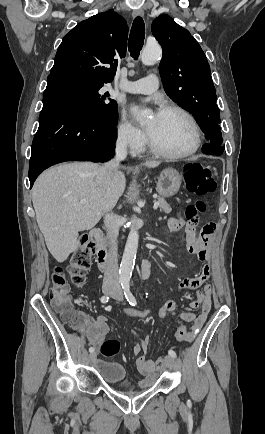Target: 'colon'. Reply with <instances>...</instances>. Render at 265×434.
<instances>
[{"mask_svg": "<svg viewBox=\"0 0 265 434\" xmlns=\"http://www.w3.org/2000/svg\"><path fill=\"white\" fill-rule=\"evenodd\" d=\"M187 191L199 196L211 195L216 184L213 178L212 169L207 166L189 165L185 172ZM206 210V205L203 202H196L188 206L184 217L188 220L192 219L196 214L203 213ZM92 264V256L87 251H78L72 257V264L67 268L57 266L51 275L49 282V294L54 309L60 314V321L65 326L71 327L74 325V313L71 303L67 299L68 284L66 273H69L72 282L75 285H81L85 282L88 271ZM190 337V332L186 326H181L176 334V339L179 342L186 341ZM120 351V343L116 340L105 341L100 346V352L105 357H111ZM158 368L164 369L163 362L165 358L159 355L156 358Z\"/></svg>", "mask_w": 265, "mask_h": 434, "instance_id": "1", "label": "colon"}]
</instances>
